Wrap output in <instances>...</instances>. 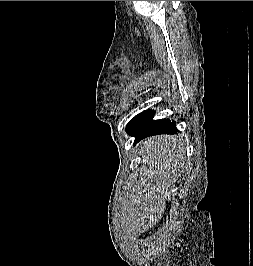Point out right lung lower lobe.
<instances>
[{"instance_id": "obj_1", "label": "right lung lower lobe", "mask_w": 253, "mask_h": 266, "mask_svg": "<svg viewBox=\"0 0 253 266\" xmlns=\"http://www.w3.org/2000/svg\"><path fill=\"white\" fill-rule=\"evenodd\" d=\"M177 128L174 121H170L169 119H163L159 123L154 126L142 127L139 129H130L127 127V132L131 136H135V143L140 141L143 138L157 135V134H174L176 133Z\"/></svg>"}]
</instances>
